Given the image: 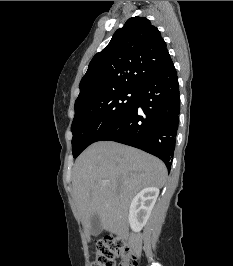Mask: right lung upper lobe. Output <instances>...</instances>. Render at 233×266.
<instances>
[{"label":"right lung upper lobe","instance_id":"1","mask_svg":"<svg viewBox=\"0 0 233 266\" xmlns=\"http://www.w3.org/2000/svg\"><path fill=\"white\" fill-rule=\"evenodd\" d=\"M172 63L160 31L145 17H133L91 60L75 102L96 93L138 89Z\"/></svg>","mask_w":233,"mask_h":266}]
</instances>
